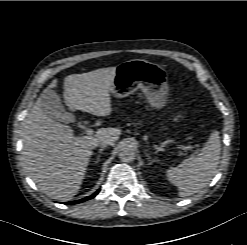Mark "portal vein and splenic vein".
Segmentation results:
<instances>
[{
	"label": "portal vein and splenic vein",
	"instance_id": "obj_1",
	"mask_svg": "<svg viewBox=\"0 0 247 245\" xmlns=\"http://www.w3.org/2000/svg\"><path fill=\"white\" fill-rule=\"evenodd\" d=\"M93 129H91V128H87L86 130H85V134L86 135H88V136H91L92 134H93ZM179 153V155H182V156H185L186 154L184 153V152H182V151H179L178 152Z\"/></svg>",
	"mask_w": 247,
	"mask_h": 245
}]
</instances>
